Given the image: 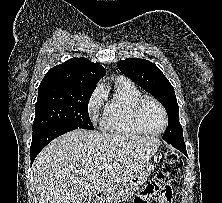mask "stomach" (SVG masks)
Returning <instances> with one entry per match:
<instances>
[{
    "label": "stomach",
    "instance_id": "stomach-1",
    "mask_svg": "<svg viewBox=\"0 0 222 203\" xmlns=\"http://www.w3.org/2000/svg\"><path fill=\"white\" fill-rule=\"evenodd\" d=\"M153 168L152 163L147 162L132 177L124 181L119 188V198L122 200L130 198L147 181ZM106 200H108L107 197ZM115 201L116 199H114V203H116Z\"/></svg>",
    "mask_w": 222,
    "mask_h": 203
}]
</instances>
